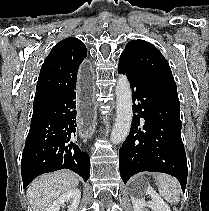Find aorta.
Instances as JSON below:
<instances>
[{
    "mask_svg": "<svg viewBox=\"0 0 209 211\" xmlns=\"http://www.w3.org/2000/svg\"><path fill=\"white\" fill-rule=\"evenodd\" d=\"M132 92L130 84L125 75L118 77L116 85V120L111 132V142L119 144L128 136L133 117Z\"/></svg>",
    "mask_w": 209,
    "mask_h": 211,
    "instance_id": "obj_1",
    "label": "aorta"
}]
</instances>
